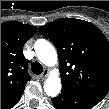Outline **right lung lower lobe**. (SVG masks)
<instances>
[{
	"label": "right lung lower lobe",
	"instance_id": "right-lung-lower-lobe-1",
	"mask_svg": "<svg viewBox=\"0 0 109 109\" xmlns=\"http://www.w3.org/2000/svg\"><path fill=\"white\" fill-rule=\"evenodd\" d=\"M24 89L19 91L16 95H14L11 99L5 101L2 105H1V109H11L13 106H15L18 101L20 100L22 93H23Z\"/></svg>",
	"mask_w": 109,
	"mask_h": 109
}]
</instances>
